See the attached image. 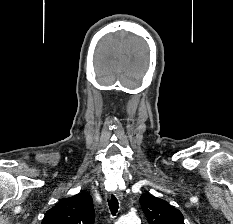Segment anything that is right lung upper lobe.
<instances>
[{"mask_svg":"<svg viewBox=\"0 0 233 224\" xmlns=\"http://www.w3.org/2000/svg\"><path fill=\"white\" fill-rule=\"evenodd\" d=\"M94 219L92 197L81 192L59 201L46 212L41 224H94Z\"/></svg>","mask_w":233,"mask_h":224,"instance_id":"obj_1","label":"right lung upper lobe"}]
</instances>
